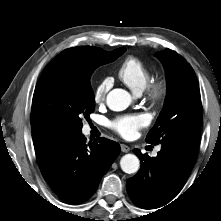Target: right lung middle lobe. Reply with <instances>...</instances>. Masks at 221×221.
Returning a JSON list of instances; mask_svg holds the SVG:
<instances>
[{
    "mask_svg": "<svg viewBox=\"0 0 221 221\" xmlns=\"http://www.w3.org/2000/svg\"><path fill=\"white\" fill-rule=\"evenodd\" d=\"M126 51L108 52L82 46L61 52L44 69L32 100V134L81 132L82 117L95 110L90 76L95 68L113 62Z\"/></svg>",
    "mask_w": 221,
    "mask_h": 221,
    "instance_id": "right-lung-middle-lobe-1",
    "label": "right lung middle lobe"
}]
</instances>
